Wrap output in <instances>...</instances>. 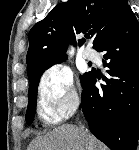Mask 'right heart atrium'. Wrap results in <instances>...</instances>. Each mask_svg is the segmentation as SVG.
<instances>
[{
  "instance_id": "right-heart-atrium-1",
  "label": "right heart atrium",
  "mask_w": 139,
  "mask_h": 150,
  "mask_svg": "<svg viewBox=\"0 0 139 150\" xmlns=\"http://www.w3.org/2000/svg\"><path fill=\"white\" fill-rule=\"evenodd\" d=\"M79 102L68 68L53 65L43 72L38 84V109L44 122H61L77 109Z\"/></svg>"
}]
</instances>
